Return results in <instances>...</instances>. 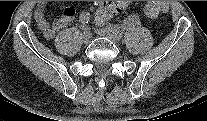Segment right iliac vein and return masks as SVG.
Segmentation results:
<instances>
[{"label": "right iliac vein", "mask_w": 207, "mask_h": 121, "mask_svg": "<svg viewBox=\"0 0 207 121\" xmlns=\"http://www.w3.org/2000/svg\"><path fill=\"white\" fill-rule=\"evenodd\" d=\"M91 38H92L91 33L88 30L84 31L82 36L83 42L85 44H88L91 41Z\"/></svg>", "instance_id": "right-iliac-vein-1"}]
</instances>
